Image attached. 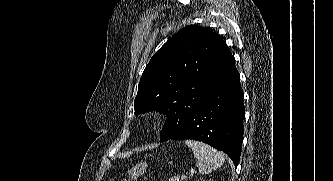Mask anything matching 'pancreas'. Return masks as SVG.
<instances>
[{
	"label": "pancreas",
	"mask_w": 333,
	"mask_h": 181,
	"mask_svg": "<svg viewBox=\"0 0 333 181\" xmlns=\"http://www.w3.org/2000/svg\"><path fill=\"white\" fill-rule=\"evenodd\" d=\"M169 181H182V178H180V176H174L170 178Z\"/></svg>",
	"instance_id": "cf45deb5"
}]
</instances>
